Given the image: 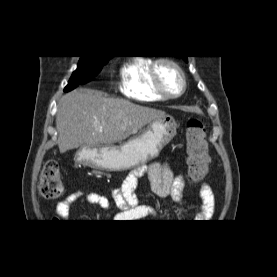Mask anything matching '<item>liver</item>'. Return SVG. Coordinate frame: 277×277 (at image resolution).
Masks as SVG:
<instances>
[{
  "instance_id": "6515ba94",
  "label": "liver",
  "mask_w": 277,
  "mask_h": 277,
  "mask_svg": "<svg viewBox=\"0 0 277 277\" xmlns=\"http://www.w3.org/2000/svg\"><path fill=\"white\" fill-rule=\"evenodd\" d=\"M164 116V111L124 99L107 98L100 91L77 89L59 101L58 147L64 153L82 145H112Z\"/></svg>"
}]
</instances>
